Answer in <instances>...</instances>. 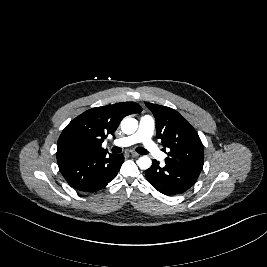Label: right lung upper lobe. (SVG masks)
Returning <instances> with one entry per match:
<instances>
[{"mask_svg": "<svg viewBox=\"0 0 267 267\" xmlns=\"http://www.w3.org/2000/svg\"><path fill=\"white\" fill-rule=\"evenodd\" d=\"M141 111V106L135 102L116 103L85 111L62 131L57 142V161L107 153L101 147L107 135L115 132L125 116Z\"/></svg>", "mask_w": 267, "mask_h": 267, "instance_id": "obj_1", "label": "right lung upper lobe"}]
</instances>
